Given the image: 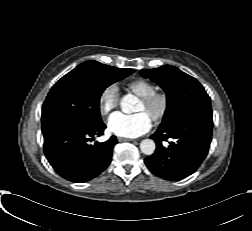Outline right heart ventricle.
<instances>
[{
	"instance_id": "1",
	"label": "right heart ventricle",
	"mask_w": 252,
	"mask_h": 231,
	"mask_svg": "<svg viewBox=\"0 0 252 231\" xmlns=\"http://www.w3.org/2000/svg\"><path fill=\"white\" fill-rule=\"evenodd\" d=\"M126 88L133 94L144 97L155 91V85L142 78L134 79L126 84Z\"/></svg>"
}]
</instances>
